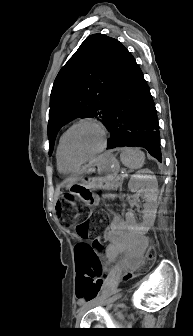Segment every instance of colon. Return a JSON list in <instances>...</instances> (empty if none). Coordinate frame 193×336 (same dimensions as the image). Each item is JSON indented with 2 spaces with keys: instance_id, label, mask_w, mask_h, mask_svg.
Returning a JSON list of instances; mask_svg holds the SVG:
<instances>
[{
  "instance_id": "obj_1",
  "label": "colon",
  "mask_w": 193,
  "mask_h": 336,
  "mask_svg": "<svg viewBox=\"0 0 193 336\" xmlns=\"http://www.w3.org/2000/svg\"><path fill=\"white\" fill-rule=\"evenodd\" d=\"M75 204V198L71 193L66 194L58 200L57 209L65 214L62 216L61 222L66 227H75L78 236L82 239H89L98 231L101 226L106 222V217L103 213L99 212L93 217L80 219L78 214H69ZM105 238L99 235L92 246L79 245L76 248V264L79 272L88 273L92 279L93 284H101V276L103 274L99 255L104 248ZM156 251L154 247H149L146 255L145 262H152L155 258ZM138 269L133 270L132 276L138 273ZM79 297L83 300H89L90 294L84 288H78Z\"/></svg>"
}]
</instances>
